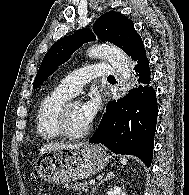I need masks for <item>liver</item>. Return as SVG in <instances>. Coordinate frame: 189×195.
<instances>
[{
    "label": "liver",
    "instance_id": "1",
    "mask_svg": "<svg viewBox=\"0 0 189 195\" xmlns=\"http://www.w3.org/2000/svg\"><path fill=\"white\" fill-rule=\"evenodd\" d=\"M83 145L84 144H82V143H79V144L48 143V144H45L40 149V154H44V153L54 151V150L77 148V147H81Z\"/></svg>",
    "mask_w": 189,
    "mask_h": 195
}]
</instances>
